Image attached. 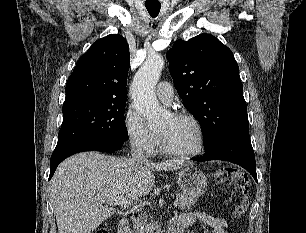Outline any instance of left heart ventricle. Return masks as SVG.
Returning a JSON list of instances; mask_svg holds the SVG:
<instances>
[{"label": "left heart ventricle", "mask_w": 306, "mask_h": 233, "mask_svg": "<svg viewBox=\"0 0 306 233\" xmlns=\"http://www.w3.org/2000/svg\"><path fill=\"white\" fill-rule=\"evenodd\" d=\"M168 144L176 151L189 152L198 146V132L194 124L186 119L171 116L159 129Z\"/></svg>", "instance_id": "b2bd125f"}]
</instances>
